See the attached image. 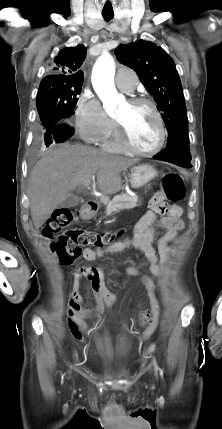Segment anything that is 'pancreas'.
I'll list each match as a JSON object with an SVG mask.
<instances>
[{
    "label": "pancreas",
    "instance_id": "cf45deb5",
    "mask_svg": "<svg viewBox=\"0 0 222 429\" xmlns=\"http://www.w3.org/2000/svg\"><path fill=\"white\" fill-rule=\"evenodd\" d=\"M140 200L138 196H131L127 193L117 195L113 200L106 201V214L110 215L112 212L121 209H132L139 206Z\"/></svg>",
    "mask_w": 222,
    "mask_h": 429
}]
</instances>
